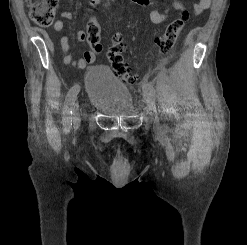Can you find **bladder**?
Returning <instances> with one entry per match:
<instances>
[{
	"mask_svg": "<svg viewBox=\"0 0 247 245\" xmlns=\"http://www.w3.org/2000/svg\"><path fill=\"white\" fill-rule=\"evenodd\" d=\"M85 85L89 102L102 113L127 116L134 112L135 105L130 89L109 68H88Z\"/></svg>",
	"mask_w": 247,
	"mask_h": 245,
	"instance_id": "obj_1",
	"label": "bladder"
}]
</instances>
